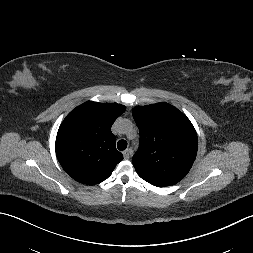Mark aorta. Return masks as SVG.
<instances>
[{
  "label": "aorta",
  "mask_w": 253,
  "mask_h": 253,
  "mask_svg": "<svg viewBox=\"0 0 253 253\" xmlns=\"http://www.w3.org/2000/svg\"><path fill=\"white\" fill-rule=\"evenodd\" d=\"M124 126L128 127L129 126V123L127 121H125L124 123Z\"/></svg>",
  "instance_id": "obj_1"
}]
</instances>
